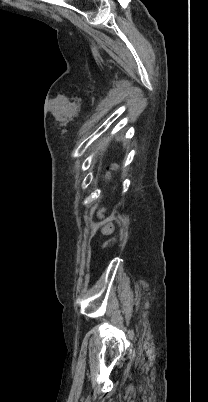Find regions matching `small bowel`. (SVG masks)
I'll return each mask as SVG.
<instances>
[{
  "label": "small bowel",
  "instance_id": "small-bowel-1",
  "mask_svg": "<svg viewBox=\"0 0 208 402\" xmlns=\"http://www.w3.org/2000/svg\"><path fill=\"white\" fill-rule=\"evenodd\" d=\"M113 231V225L110 223H105L104 226L102 227V233L103 234H110Z\"/></svg>",
  "mask_w": 208,
  "mask_h": 402
}]
</instances>
